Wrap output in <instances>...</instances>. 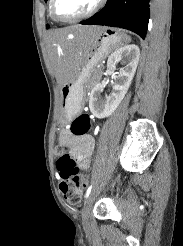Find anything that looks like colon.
Returning a JSON list of instances; mask_svg holds the SVG:
<instances>
[{"label": "colon", "instance_id": "5ec220e1", "mask_svg": "<svg viewBox=\"0 0 183 246\" xmlns=\"http://www.w3.org/2000/svg\"><path fill=\"white\" fill-rule=\"evenodd\" d=\"M92 122L89 115L79 114L71 123L70 130L74 135H85L91 129ZM57 169L60 175V191L64 200L77 205L81 201L83 188L88 183V176L81 173L74 159L67 153L66 147H57Z\"/></svg>", "mask_w": 183, "mask_h": 246}]
</instances>
